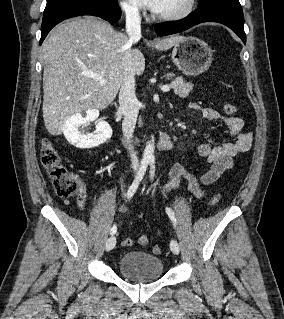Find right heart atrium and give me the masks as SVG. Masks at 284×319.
<instances>
[{
    "label": "right heart atrium",
    "mask_w": 284,
    "mask_h": 319,
    "mask_svg": "<svg viewBox=\"0 0 284 319\" xmlns=\"http://www.w3.org/2000/svg\"><path fill=\"white\" fill-rule=\"evenodd\" d=\"M120 7L127 19L137 21L141 17L139 7L133 2V0H121Z\"/></svg>",
    "instance_id": "obj_1"
}]
</instances>
